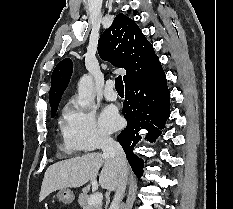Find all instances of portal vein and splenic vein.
<instances>
[{
    "label": "portal vein and splenic vein",
    "instance_id": "obj_1",
    "mask_svg": "<svg viewBox=\"0 0 233 209\" xmlns=\"http://www.w3.org/2000/svg\"><path fill=\"white\" fill-rule=\"evenodd\" d=\"M103 200V195L101 192H96L93 195L90 196L88 200L89 205H94V204H101Z\"/></svg>",
    "mask_w": 233,
    "mask_h": 209
}]
</instances>
